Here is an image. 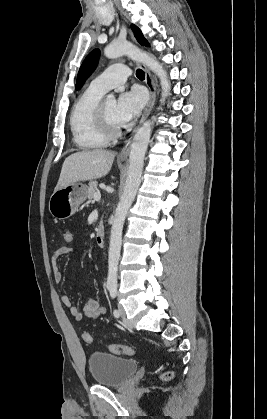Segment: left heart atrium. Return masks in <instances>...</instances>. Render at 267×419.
Segmentation results:
<instances>
[{"label":"left heart atrium","mask_w":267,"mask_h":419,"mask_svg":"<svg viewBox=\"0 0 267 419\" xmlns=\"http://www.w3.org/2000/svg\"><path fill=\"white\" fill-rule=\"evenodd\" d=\"M145 102L143 92L137 88L121 93L116 103V120L120 126L132 122L141 112Z\"/></svg>","instance_id":"left-heart-atrium-1"}]
</instances>
